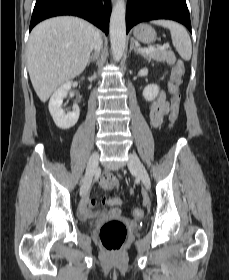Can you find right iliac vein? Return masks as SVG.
Instances as JSON below:
<instances>
[{
    "label": "right iliac vein",
    "instance_id": "1",
    "mask_svg": "<svg viewBox=\"0 0 229 280\" xmlns=\"http://www.w3.org/2000/svg\"><path fill=\"white\" fill-rule=\"evenodd\" d=\"M98 159H99V154L97 152H94L88 162L87 169H86V174L84 177V181L80 190V194L82 195L85 191H87L91 185L92 178L94 173L97 170L98 166Z\"/></svg>",
    "mask_w": 229,
    "mask_h": 280
}]
</instances>
